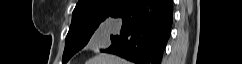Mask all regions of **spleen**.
Here are the masks:
<instances>
[{
	"label": "spleen",
	"instance_id": "spleen-1",
	"mask_svg": "<svg viewBox=\"0 0 242 64\" xmlns=\"http://www.w3.org/2000/svg\"><path fill=\"white\" fill-rule=\"evenodd\" d=\"M86 64H131V63L115 55L100 54L88 60Z\"/></svg>",
	"mask_w": 242,
	"mask_h": 64
}]
</instances>
